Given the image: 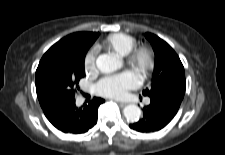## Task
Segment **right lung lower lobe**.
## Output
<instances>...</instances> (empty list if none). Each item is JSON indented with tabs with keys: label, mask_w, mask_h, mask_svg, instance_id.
Instances as JSON below:
<instances>
[{
	"label": "right lung lower lobe",
	"mask_w": 225,
	"mask_h": 155,
	"mask_svg": "<svg viewBox=\"0 0 225 155\" xmlns=\"http://www.w3.org/2000/svg\"><path fill=\"white\" fill-rule=\"evenodd\" d=\"M104 100L94 98L84 108H77L75 99L57 100L43 108L51 124L64 133L81 134L87 132L97 123V109Z\"/></svg>",
	"instance_id": "98d812e1"
}]
</instances>
